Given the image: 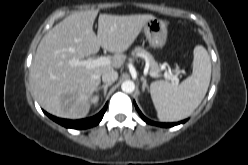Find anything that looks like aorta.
I'll return each mask as SVG.
<instances>
[{
    "instance_id": "762f6f07",
    "label": "aorta",
    "mask_w": 248,
    "mask_h": 165,
    "mask_svg": "<svg viewBox=\"0 0 248 165\" xmlns=\"http://www.w3.org/2000/svg\"><path fill=\"white\" fill-rule=\"evenodd\" d=\"M121 89L125 93H132L135 90V84L131 80H126L121 84Z\"/></svg>"
}]
</instances>
